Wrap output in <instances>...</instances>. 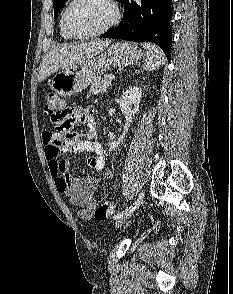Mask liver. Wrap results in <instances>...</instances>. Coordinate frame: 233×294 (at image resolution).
Segmentation results:
<instances>
[{"instance_id": "6515ba94", "label": "liver", "mask_w": 233, "mask_h": 294, "mask_svg": "<svg viewBox=\"0 0 233 294\" xmlns=\"http://www.w3.org/2000/svg\"><path fill=\"white\" fill-rule=\"evenodd\" d=\"M110 40L89 41L80 44H71L58 47L50 51L40 65L38 81L61 69H67L97 56L110 45Z\"/></svg>"}]
</instances>
